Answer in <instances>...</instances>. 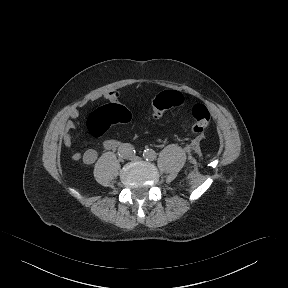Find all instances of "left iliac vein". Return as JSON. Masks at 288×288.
<instances>
[{"instance_id": "left-iliac-vein-1", "label": "left iliac vein", "mask_w": 288, "mask_h": 288, "mask_svg": "<svg viewBox=\"0 0 288 288\" xmlns=\"http://www.w3.org/2000/svg\"><path fill=\"white\" fill-rule=\"evenodd\" d=\"M134 159H136V160H137V159H139V158H138V157H135Z\"/></svg>"}]
</instances>
